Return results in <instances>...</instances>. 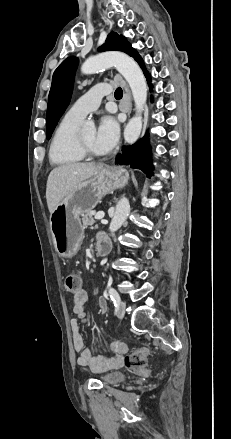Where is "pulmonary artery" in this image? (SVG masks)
Masks as SVG:
<instances>
[{"label": "pulmonary artery", "instance_id": "e3ab8cb5", "mask_svg": "<svg viewBox=\"0 0 231 439\" xmlns=\"http://www.w3.org/2000/svg\"><path fill=\"white\" fill-rule=\"evenodd\" d=\"M109 84H97L80 97L67 111L66 116L82 121L85 116L95 111L103 96L110 94Z\"/></svg>", "mask_w": 231, "mask_h": 439}]
</instances>
